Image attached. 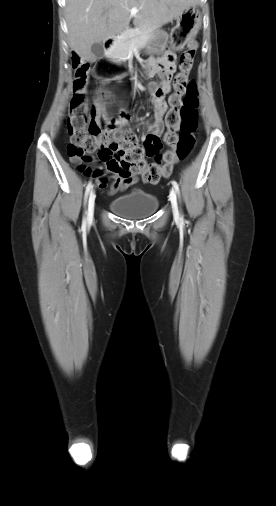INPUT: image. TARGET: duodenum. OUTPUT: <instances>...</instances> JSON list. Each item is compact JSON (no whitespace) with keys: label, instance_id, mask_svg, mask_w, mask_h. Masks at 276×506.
I'll list each match as a JSON object with an SVG mask.
<instances>
[{"label":"duodenum","instance_id":"duodenum-1","mask_svg":"<svg viewBox=\"0 0 276 506\" xmlns=\"http://www.w3.org/2000/svg\"><path fill=\"white\" fill-rule=\"evenodd\" d=\"M117 40V36H111V37H108L106 40H105V48L107 50L110 49V47L116 42ZM107 54V53H106Z\"/></svg>","mask_w":276,"mask_h":506}]
</instances>
